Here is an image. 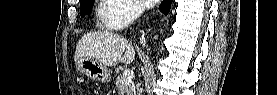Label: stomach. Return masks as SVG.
<instances>
[{
	"label": "stomach",
	"mask_w": 277,
	"mask_h": 95,
	"mask_svg": "<svg viewBox=\"0 0 277 95\" xmlns=\"http://www.w3.org/2000/svg\"><path fill=\"white\" fill-rule=\"evenodd\" d=\"M78 72L92 80L107 83L111 80L110 71L100 62L90 57H81L75 61Z\"/></svg>",
	"instance_id": "stomach-1"
}]
</instances>
